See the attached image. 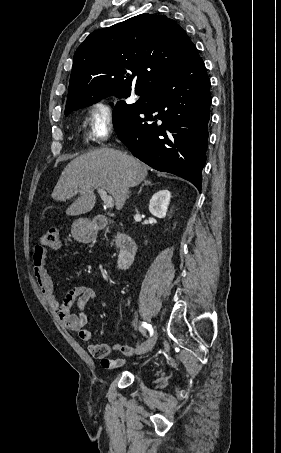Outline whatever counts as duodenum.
I'll list each match as a JSON object with an SVG mask.
<instances>
[{
  "label": "duodenum",
  "instance_id": "410a0bca",
  "mask_svg": "<svg viewBox=\"0 0 281 453\" xmlns=\"http://www.w3.org/2000/svg\"><path fill=\"white\" fill-rule=\"evenodd\" d=\"M110 221L106 218H98L94 221V225L97 229L105 227ZM117 244L119 247L118 267L120 269L128 267L137 252V244L133 238L124 234H117Z\"/></svg>",
  "mask_w": 281,
  "mask_h": 453
}]
</instances>
